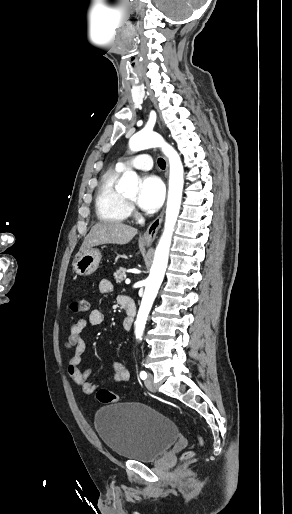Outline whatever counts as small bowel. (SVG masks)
Instances as JSON below:
<instances>
[{"label": "small bowel", "mask_w": 292, "mask_h": 514, "mask_svg": "<svg viewBox=\"0 0 292 514\" xmlns=\"http://www.w3.org/2000/svg\"><path fill=\"white\" fill-rule=\"evenodd\" d=\"M98 289L101 294H109L113 291V284L108 279L99 281ZM105 321V315L101 309H94L90 312L87 318L79 319L76 323L71 325L68 337L65 341L66 349H74V355L71 356L67 362V373L73 382L79 386L85 393L93 394L102 386H96L88 380L92 374L91 369L81 370L79 365L81 363V355L86 350L84 342V332L88 326L98 327ZM115 383L127 382L130 379V371L122 362H117L113 366Z\"/></svg>", "instance_id": "obj_1"}]
</instances>
